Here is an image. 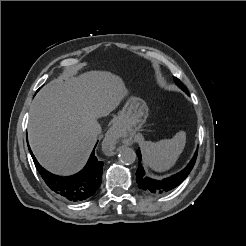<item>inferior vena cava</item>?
Masks as SVG:
<instances>
[{
  "instance_id": "1",
  "label": "inferior vena cava",
  "mask_w": 246,
  "mask_h": 246,
  "mask_svg": "<svg viewBox=\"0 0 246 246\" xmlns=\"http://www.w3.org/2000/svg\"><path fill=\"white\" fill-rule=\"evenodd\" d=\"M90 131L96 136L101 133V125L97 120L91 122Z\"/></svg>"
}]
</instances>
